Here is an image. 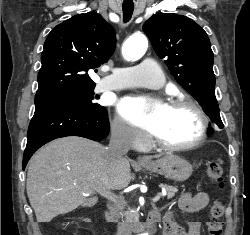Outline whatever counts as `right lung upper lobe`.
I'll use <instances>...</instances> for the list:
<instances>
[{"mask_svg": "<svg viewBox=\"0 0 250 235\" xmlns=\"http://www.w3.org/2000/svg\"><path fill=\"white\" fill-rule=\"evenodd\" d=\"M115 45L113 27L98 13L60 23L44 43L35 98L95 86L87 72L106 63Z\"/></svg>", "mask_w": 250, "mask_h": 235, "instance_id": "obj_1", "label": "right lung upper lobe"}]
</instances>
